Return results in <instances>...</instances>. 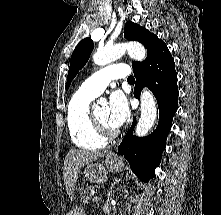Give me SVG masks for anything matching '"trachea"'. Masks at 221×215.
I'll return each mask as SVG.
<instances>
[{"mask_svg": "<svg viewBox=\"0 0 221 215\" xmlns=\"http://www.w3.org/2000/svg\"><path fill=\"white\" fill-rule=\"evenodd\" d=\"M127 80H128V81H135V79H134L133 76H129Z\"/></svg>", "mask_w": 221, "mask_h": 215, "instance_id": "3493384b", "label": "trachea"}]
</instances>
